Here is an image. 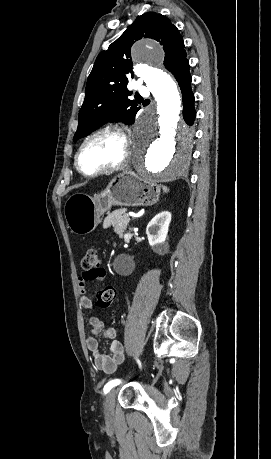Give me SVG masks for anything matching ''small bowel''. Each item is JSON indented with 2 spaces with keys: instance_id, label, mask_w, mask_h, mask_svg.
Instances as JSON below:
<instances>
[{
  "instance_id": "small-bowel-1",
  "label": "small bowel",
  "mask_w": 271,
  "mask_h": 459,
  "mask_svg": "<svg viewBox=\"0 0 271 459\" xmlns=\"http://www.w3.org/2000/svg\"><path fill=\"white\" fill-rule=\"evenodd\" d=\"M105 277L106 271L103 268H98L90 272H83L79 276L78 288L80 293V304L83 308H93V302L86 293L87 284L96 280H104ZM88 322L90 331L93 335L101 333L105 339L111 342L108 353H103L99 347L98 340L94 336H89L86 339V345L92 355L95 366L107 374L114 373L117 367L124 361L123 346L116 339L117 333L115 328L106 327L104 323L95 316L90 317Z\"/></svg>"
}]
</instances>
